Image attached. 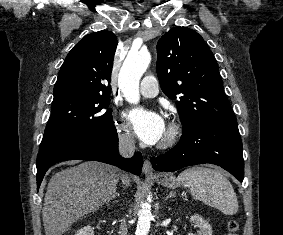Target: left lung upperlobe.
Here are the masks:
<instances>
[{
    "mask_svg": "<svg viewBox=\"0 0 283 235\" xmlns=\"http://www.w3.org/2000/svg\"><path fill=\"white\" fill-rule=\"evenodd\" d=\"M156 68L162 91L176 100L183 133L235 120L216 59L194 30L177 26L163 35Z\"/></svg>",
    "mask_w": 283,
    "mask_h": 235,
    "instance_id": "obj_1",
    "label": "left lung upper lobe"
}]
</instances>
